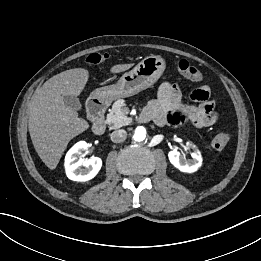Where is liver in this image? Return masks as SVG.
<instances>
[{
  "label": "liver",
  "mask_w": 261,
  "mask_h": 261,
  "mask_svg": "<svg viewBox=\"0 0 261 261\" xmlns=\"http://www.w3.org/2000/svg\"><path fill=\"white\" fill-rule=\"evenodd\" d=\"M134 64H117L111 73H120ZM89 78L88 70L74 68L63 71L36 90L29 104L28 129L33 146L45 165L54 170L71 139L89 128L76 110L64 104L63 96L77 97Z\"/></svg>",
  "instance_id": "1"
}]
</instances>
